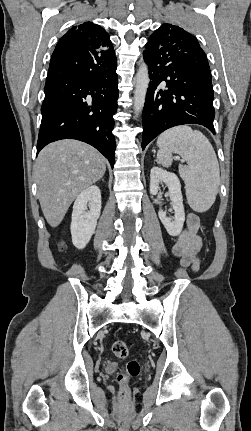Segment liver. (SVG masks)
I'll return each instance as SVG.
<instances>
[{"mask_svg":"<svg viewBox=\"0 0 251 431\" xmlns=\"http://www.w3.org/2000/svg\"><path fill=\"white\" fill-rule=\"evenodd\" d=\"M105 158L92 146L61 140L47 145L35 165L38 198L48 224L55 228L78 195L100 180Z\"/></svg>","mask_w":251,"mask_h":431,"instance_id":"1","label":"liver"}]
</instances>
